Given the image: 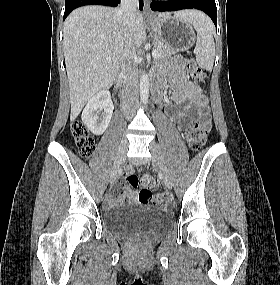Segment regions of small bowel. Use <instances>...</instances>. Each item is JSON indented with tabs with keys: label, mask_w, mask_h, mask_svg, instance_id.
I'll use <instances>...</instances> for the list:
<instances>
[{
	"label": "small bowel",
	"mask_w": 280,
	"mask_h": 285,
	"mask_svg": "<svg viewBox=\"0 0 280 285\" xmlns=\"http://www.w3.org/2000/svg\"><path fill=\"white\" fill-rule=\"evenodd\" d=\"M176 61L178 62L179 60L176 59ZM168 83L171 86V101L179 105L185 104L184 111L178 114V119L184 118L188 111L195 107L197 108L200 120L207 121L210 125L208 99L201 93L198 87L180 72L173 73L169 78ZM179 127L182 128L181 125H179ZM126 172L132 173V169L128 168ZM149 200V191L142 190L138 192L125 187L123 193L118 196L109 193L106 202L108 205H112L116 202H123L126 204H146Z\"/></svg>",
	"instance_id": "obj_1"
}]
</instances>
